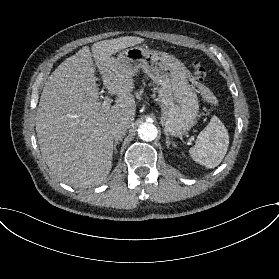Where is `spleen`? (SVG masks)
<instances>
[{
	"mask_svg": "<svg viewBox=\"0 0 279 279\" xmlns=\"http://www.w3.org/2000/svg\"><path fill=\"white\" fill-rule=\"evenodd\" d=\"M202 97L212 105L218 100L206 87L201 90ZM229 146L228 131L216 116L211 118L209 124L199 133L196 144L190 148L192 159L206 168H215L225 157Z\"/></svg>",
	"mask_w": 279,
	"mask_h": 279,
	"instance_id": "1",
	"label": "spleen"
}]
</instances>
